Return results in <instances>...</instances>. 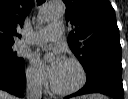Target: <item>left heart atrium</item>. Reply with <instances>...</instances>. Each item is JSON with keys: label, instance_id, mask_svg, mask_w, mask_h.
I'll return each instance as SVG.
<instances>
[{"label": "left heart atrium", "instance_id": "39dd6f15", "mask_svg": "<svg viewBox=\"0 0 128 99\" xmlns=\"http://www.w3.org/2000/svg\"><path fill=\"white\" fill-rule=\"evenodd\" d=\"M35 61L36 63L42 67L47 75V77L53 81L58 73V71L60 70V67L62 66L64 60H62V58H60L59 56H57L55 58V60L47 67H44L42 59L39 56L35 57Z\"/></svg>", "mask_w": 128, "mask_h": 99}]
</instances>
